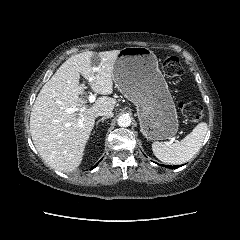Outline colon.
I'll use <instances>...</instances> for the list:
<instances>
[{
	"label": "colon",
	"mask_w": 240,
	"mask_h": 240,
	"mask_svg": "<svg viewBox=\"0 0 240 240\" xmlns=\"http://www.w3.org/2000/svg\"><path fill=\"white\" fill-rule=\"evenodd\" d=\"M164 74L169 78H177L183 74V66L175 56L167 57L162 65ZM181 113L190 121H199L204 114L201 104L195 101H182L179 104Z\"/></svg>",
	"instance_id": "obj_1"
}]
</instances>
